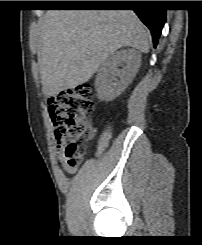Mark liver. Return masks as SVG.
<instances>
[{"label": "liver", "mask_w": 202, "mask_h": 245, "mask_svg": "<svg viewBox=\"0 0 202 245\" xmlns=\"http://www.w3.org/2000/svg\"><path fill=\"white\" fill-rule=\"evenodd\" d=\"M41 77L46 96L88 82L122 47L143 53L149 32L132 10H48L41 21Z\"/></svg>", "instance_id": "1"}]
</instances>
